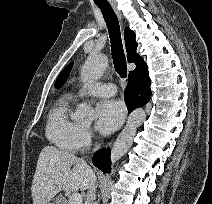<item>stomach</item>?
<instances>
[{
	"mask_svg": "<svg viewBox=\"0 0 212 204\" xmlns=\"http://www.w3.org/2000/svg\"><path fill=\"white\" fill-rule=\"evenodd\" d=\"M47 204H62L59 199H53L47 202Z\"/></svg>",
	"mask_w": 212,
	"mask_h": 204,
	"instance_id": "obj_1",
	"label": "stomach"
}]
</instances>
